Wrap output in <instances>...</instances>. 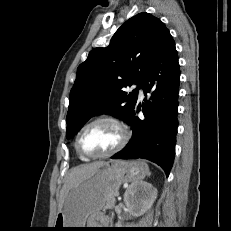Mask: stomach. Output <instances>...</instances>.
<instances>
[{
    "instance_id": "1",
    "label": "stomach",
    "mask_w": 231,
    "mask_h": 231,
    "mask_svg": "<svg viewBox=\"0 0 231 231\" xmlns=\"http://www.w3.org/2000/svg\"><path fill=\"white\" fill-rule=\"evenodd\" d=\"M148 174V165L142 160L107 162L105 166L68 192L56 216L54 230L68 231L74 229L65 228H85L87 218L107 208L109 196L117 193L123 183L142 180Z\"/></svg>"
}]
</instances>
